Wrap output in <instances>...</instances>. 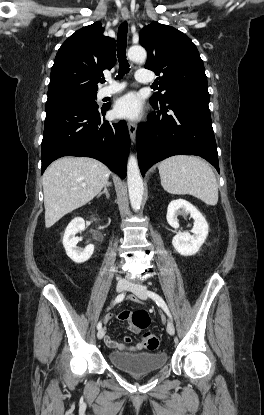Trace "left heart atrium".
<instances>
[{"mask_svg": "<svg viewBox=\"0 0 264 415\" xmlns=\"http://www.w3.org/2000/svg\"><path fill=\"white\" fill-rule=\"evenodd\" d=\"M141 111V101L136 93H128L118 99L114 108V113L119 118L136 119Z\"/></svg>", "mask_w": 264, "mask_h": 415, "instance_id": "obj_1", "label": "left heart atrium"}]
</instances>
